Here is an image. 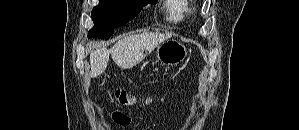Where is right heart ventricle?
<instances>
[{"label":"right heart ventricle","instance_id":"1","mask_svg":"<svg viewBox=\"0 0 299 130\" xmlns=\"http://www.w3.org/2000/svg\"><path fill=\"white\" fill-rule=\"evenodd\" d=\"M163 12L168 22L173 24L182 23L189 12L188 2L185 0L164 1Z\"/></svg>","mask_w":299,"mask_h":130}]
</instances>
